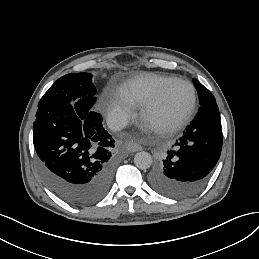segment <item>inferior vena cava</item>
I'll return each instance as SVG.
<instances>
[{"mask_svg": "<svg viewBox=\"0 0 259 259\" xmlns=\"http://www.w3.org/2000/svg\"><path fill=\"white\" fill-rule=\"evenodd\" d=\"M127 124V118L117 113L113 114L107 119V125L112 131H119L125 128Z\"/></svg>", "mask_w": 259, "mask_h": 259, "instance_id": "1", "label": "inferior vena cava"}]
</instances>
